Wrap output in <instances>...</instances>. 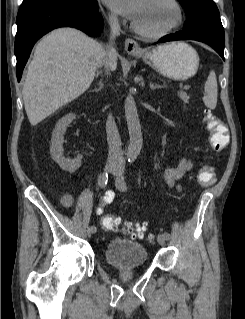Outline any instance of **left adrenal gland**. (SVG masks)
<instances>
[{"label":"left adrenal gland","mask_w":245,"mask_h":319,"mask_svg":"<svg viewBox=\"0 0 245 319\" xmlns=\"http://www.w3.org/2000/svg\"><path fill=\"white\" fill-rule=\"evenodd\" d=\"M162 87H164V86L158 85V84H154V83H152V81H150V88L151 89L162 88Z\"/></svg>","instance_id":"obj_1"}]
</instances>
